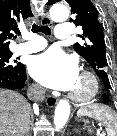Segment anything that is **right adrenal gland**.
Returning <instances> with one entry per match:
<instances>
[{"label": "right adrenal gland", "mask_w": 117, "mask_h": 136, "mask_svg": "<svg viewBox=\"0 0 117 136\" xmlns=\"http://www.w3.org/2000/svg\"><path fill=\"white\" fill-rule=\"evenodd\" d=\"M28 135H29V128L27 129L25 136H28Z\"/></svg>", "instance_id": "right-adrenal-gland-1"}]
</instances>
